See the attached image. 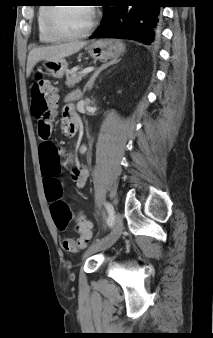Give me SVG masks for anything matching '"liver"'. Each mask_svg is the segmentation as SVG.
I'll list each match as a JSON object with an SVG mask.
<instances>
[{
    "label": "liver",
    "mask_w": 213,
    "mask_h": 338,
    "mask_svg": "<svg viewBox=\"0 0 213 338\" xmlns=\"http://www.w3.org/2000/svg\"><path fill=\"white\" fill-rule=\"evenodd\" d=\"M86 44L87 43L85 41H74L65 44L51 45L32 49L27 59V77L30 76L34 66L39 61L63 59L77 53Z\"/></svg>",
    "instance_id": "obj_1"
}]
</instances>
